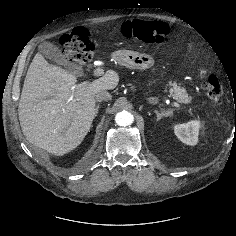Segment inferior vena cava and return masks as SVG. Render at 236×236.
<instances>
[{
  "label": "inferior vena cava",
  "instance_id": "inferior-vena-cava-1",
  "mask_svg": "<svg viewBox=\"0 0 236 236\" xmlns=\"http://www.w3.org/2000/svg\"><path fill=\"white\" fill-rule=\"evenodd\" d=\"M111 98H112L111 94L107 92L106 90H100L95 95V99L98 102L111 100Z\"/></svg>",
  "mask_w": 236,
  "mask_h": 236
}]
</instances>
